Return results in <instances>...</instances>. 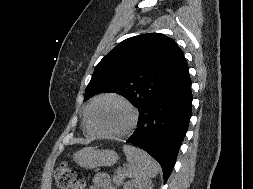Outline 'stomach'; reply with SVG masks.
I'll return each mask as SVG.
<instances>
[{
    "label": "stomach",
    "mask_w": 253,
    "mask_h": 189,
    "mask_svg": "<svg viewBox=\"0 0 253 189\" xmlns=\"http://www.w3.org/2000/svg\"><path fill=\"white\" fill-rule=\"evenodd\" d=\"M73 159L81 167L95 168L115 164L118 160V155L113 150L85 148L76 152Z\"/></svg>",
    "instance_id": "0dacf381"
}]
</instances>
